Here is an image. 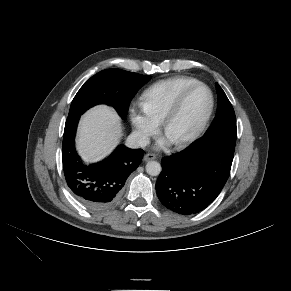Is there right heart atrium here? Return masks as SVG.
<instances>
[{"label":"right heart atrium","mask_w":291,"mask_h":291,"mask_svg":"<svg viewBox=\"0 0 291 291\" xmlns=\"http://www.w3.org/2000/svg\"><path fill=\"white\" fill-rule=\"evenodd\" d=\"M129 119L134 129V134L140 144L144 145L150 137L158 131L159 123L152 119L141 106H132L129 109Z\"/></svg>","instance_id":"right-heart-atrium-1"}]
</instances>
